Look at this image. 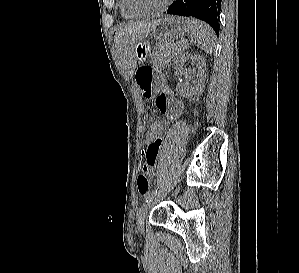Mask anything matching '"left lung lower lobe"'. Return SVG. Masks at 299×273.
<instances>
[{
  "mask_svg": "<svg viewBox=\"0 0 299 273\" xmlns=\"http://www.w3.org/2000/svg\"><path fill=\"white\" fill-rule=\"evenodd\" d=\"M221 0H175L167 14L191 16L207 22L219 35Z\"/></svg>",
  "mask_w": 299,
  "mask_h": 273,
  "instance_id": "left-lung-lower-lobe-1",
  "label": "left lung lower lobe"
}]
</instances>
